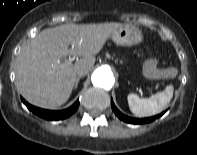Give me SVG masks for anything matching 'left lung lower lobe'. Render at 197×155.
Returning a JSON list of instances; mask_svg holds the SVG:
<instances>
[{
  "label": "left lung lower lobe",
  "instance_id": "obj_1",
  "mask_svg": "<svg viewBox=\"0 0 197 155\" xmlns=\"http://www.w3.org/2000/svg\"><path fill=\"white\" fill-rule=\"evenodd\" d=\"M111 107H112V110L114 111V113L116 114V116L123 120L124 122H127V123H131V124H144V123H149V122H152L154 121L155 119L159 118L160 116H162L164 114L161 113L159 115H156V116H153V117H149V118H141V119H138V118H131V117H128L124 114H122L117 108L116 106L114 105L112 99H111Z\"/></svg>",
  "mask_w": 197,
  "mask_h": 155
}]
</instances>
